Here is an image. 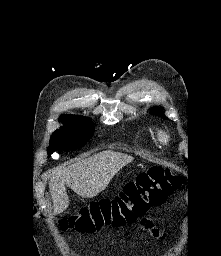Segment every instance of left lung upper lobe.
Masks as SVG:
<instances>
[{
  "mask_svg": "<svg viewBox=\"0 0 221 256\" xmlns=\"http://www.w3.org/2000/svg\"><path fill=\"white\" fill-rule=\"evenodd\" d=\"M150 113H151V114H156V115H158V116H162L163 118H166L165 115L162 114V113H163V108H157V107H155V108H153V109L150 110Z\"/></svg>",
  "mask_w": 221,
  "mask_h": 256,
  "instance_id": "obj_1",
  "label": "left lung upper lobe"
}]
</instances>
